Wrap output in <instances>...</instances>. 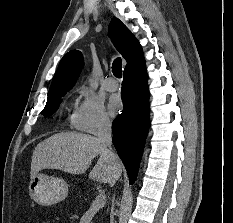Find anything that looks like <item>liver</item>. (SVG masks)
<instances>
[{"label":"liver","mask_w":233,"mask_h":223,"mask_svg":"<svg viewBox=\"0 0 233 223\" xmlns=\"http://www.w3.org/2000/svg\"><path fill=\"white\" fill-rule=\"evenodd\" d=\"M106 149L105 145L99 143L98 137L89 133H54L36 145L31 159L30 177H34L41 169H61L79 175L85 173L93 159L98 157L88 175L89 179L114 185L122 173V165L117 155L112 161Z\"/></svg>","instance_id":"6515ba94"}]
</instances>
